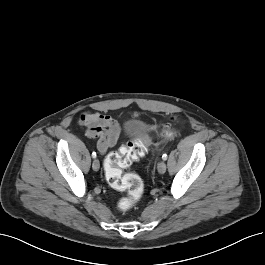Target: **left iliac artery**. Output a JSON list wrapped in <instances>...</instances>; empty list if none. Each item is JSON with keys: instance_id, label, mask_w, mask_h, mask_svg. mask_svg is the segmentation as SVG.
I'll return each instance as SVG.
<instances>
[{"instance_id": "44dca946", "label": "left iliac artery", "mask_w": 265, "mask_h": 265, "mask_svg": "<svg viewBox=\"0 0 265 265\" xmlns=\"http://www.w3.org/2000/svg\"><path fill=\"white\" fill-rule=\"evenodd\" d=\"M162 159H163V160H167V154H163V155H162Z\"/></svg>"}]
</instances>
